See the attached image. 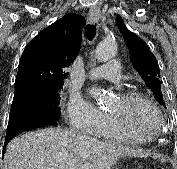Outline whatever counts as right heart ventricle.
Segmentation results:
<instances>
[{
    "mask_svg": "<svg viewBox=\"0 0 177 169\" xmlns=\"http://www.w3.org/2000/svg\"><path fill=\"white\" fill-rule=\"evenodd\" d=\"M98 137L109 139V140H128L124 135L117 129L116 125L109 116H106V119L102 125V128L97 134ZM151 141V140H149ZM142 143L148 142V140L140 141Z\"/></svg>",
    "mask_w": 177,
    "mask_h": 169,
    "instance_id": "right-heart-ventricle-1",
    "label": "right heart ventricle"
}]
</instances>
